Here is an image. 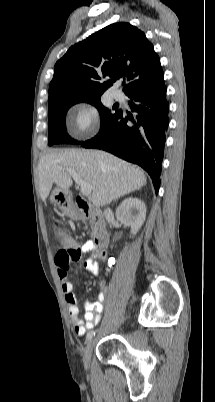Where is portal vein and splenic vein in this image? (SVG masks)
<instances>
[{"label": "portal vein and splenic vein", "instance_id": "18ae733b", "mask_svg": "<svg viewBox=\"0 0 215 402\" xmlns=\"http://www.w3.org/2000/svg\"><path fill=\"white\" fill-rule=\"evenodd\" d=\"M66 172L72 176L74 179L75 183L80 187V191L84 196H90L91 191H92V186H90L88 183H86L74 170L72 169H65Z\"/></svg>", "mask_w": 215, "mask_h": 402}]
</instances>
